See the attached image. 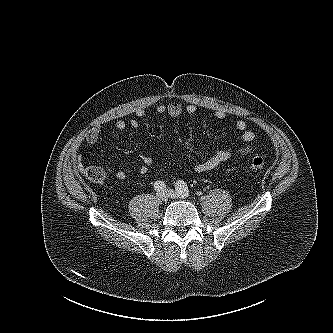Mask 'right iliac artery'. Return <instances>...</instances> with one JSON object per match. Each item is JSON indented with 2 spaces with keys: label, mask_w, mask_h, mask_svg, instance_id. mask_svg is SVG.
I'll return each mask as SVG.
<instances>
[{
  "label": "right iliac artery",
  "mask_w": 333,
  "mask_h": 333,
  "mask_svg": "<svg viewBox=\"0 0 333 333\" xmlns=\"http://www.w3.org/2000/svg\"><path fill=\"white\" fill-rule=\"evenodd\" d=\"M166 188V185L163 181H157L154 183V189L157 192L163 191Z\"/></svg>",
  "instance_id": "right-iliac-artery-1"
}]
</instances>
